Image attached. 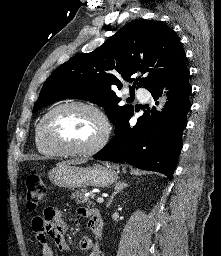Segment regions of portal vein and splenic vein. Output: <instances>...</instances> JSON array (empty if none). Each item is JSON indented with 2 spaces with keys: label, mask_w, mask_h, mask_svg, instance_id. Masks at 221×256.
Wrapping results in <instances>:
<instances>
[{
  "label": "portal vein and splenic vein",
  "mask_w": 221,
  "mask_h": 256,
  "mask_svg": "<svg viewBox=\"0 0 221 256\" xmlns=\"http://www.w3.org/2000/svg\"><path fill=\"white\" fill-rule=\"evenodd\" d=\"M97 202H98V203H103V202H104L103 197H98V198H97Z\"/></svg>",
  "instance_id": "18ae733b"
}]
</instances>
